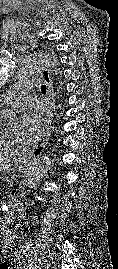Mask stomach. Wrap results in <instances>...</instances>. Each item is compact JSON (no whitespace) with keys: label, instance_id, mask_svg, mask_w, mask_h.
<instances>
[{"label":"stomach","instance_id":"1","mask_svg":"<svg viewBox=\"0 0 118 269\" xmlns=\"http://www.w3.org/2000/svg\"><path fill=\"white\" fill-rule=\"evenodd\" d=\"M25 167V165L19 164L17 165V170H22Z\"/></svg>","mask_w":118,"mask_h":269}]
</instances>
